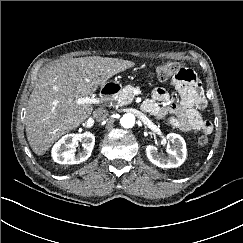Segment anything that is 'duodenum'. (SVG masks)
Segmentation results:
<instances>
[{
	"mask_svg": "<svg viewBox=\"0 0 243 243\" xmlns=\"http://www.w3.org/2000/svg\"><path fill=\"white\" fill-rule=\"evenodd\" d=\"M120 90V86L116 83H109L105 85L101 90L102 99H111L114 97Z\"/></svg>",
	"mask_w": 243,
	"mask_h": 243,
	"instance_id": "duodenum-1",
	"label": "duodenum"
}]
</instances>
